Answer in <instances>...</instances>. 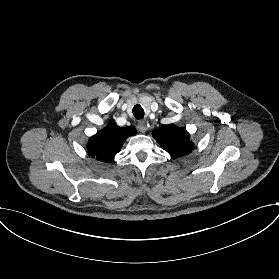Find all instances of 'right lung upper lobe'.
Returning a JSON list of instances; mask_svg holds the SVG:
<instances>
[{
  "instance_id": "obj_1",
  "label": "right lung upper lobe",
  "mask_w": 279,
  "mask_h": 279,
  "mask_svg": "<svg viewBox=\"0 0 279 279\" xmlns=\"http://www.w3.org/2000/svg\"><path fill=\"white\" fill-rule=\"evenodd\" d=\"M135 133L136 129L132 126L118 127L109 123L89 139L87 149L89 154L97 160L111 162L125 140Z\"/></svg>"
}]
</instances>
